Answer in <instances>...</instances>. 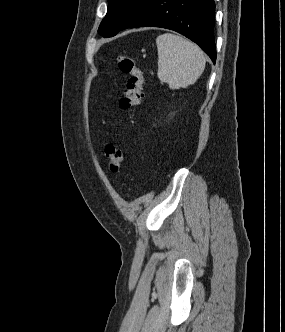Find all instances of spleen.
<instances>
[{
    "instance_id": "obj_1",
    "label": "spleen",
    "mask_w": 285,
    "mask_h": 332,
    "mask_svg": "<svg viewBox=\"0 0 285 332\" xmlns=\"http://www.w3.org/2000/svg\"><path fill=\"white\" fill-rule=\"evenodd\" d=\"M158 50V78L171 89L186 88L194 84L205 69L203 51L194 43L172 33L156 39Z\"/></svg>"
}]
</instances>
